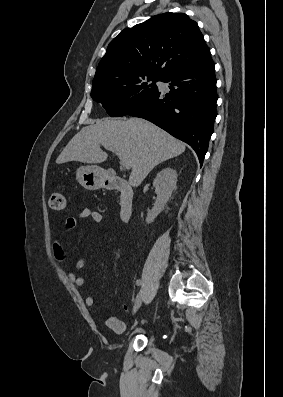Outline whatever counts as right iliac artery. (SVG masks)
<instances>
[{
  "instance_id": "1",
  "label": "right iliac artery",
  "mask_w": 283,
  "mask_h": 397,
  "mask_svg": "<svg viewBox=\"0 0 283 397\" xmlns=\"http://www.w3.org/2000/svg\"><path fill=\"white\" fill-rule=\"evenodd\" d=\"M136 283H137V285H140V284H141V281H140V280H137Z\"/></svg>"
}]
</instances>
